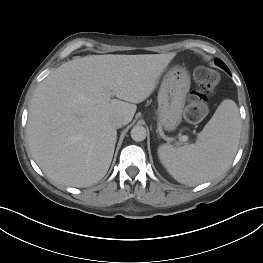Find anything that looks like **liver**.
Listing matches in <instances>:
<instances>
[{
  "label": "liver",
  "instance_id": "liver-1",
  "mask_svg": "<svg viewBox=\"0 0 263 263\" xmlns=\"http://www.w3.org/2000/svg\"><path fill=\"white\" fill-rule=\"evenodd\" d=\"M175 55H91L62 64L44 79L27 122L29 148L44 174L72 187L100 181L117 139L112 118L130 123L136 104L152 94Z\"/></svg>",
  "mask_w": 263,
  "mask_h": 263
}]
</instances>
